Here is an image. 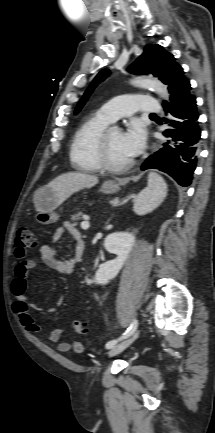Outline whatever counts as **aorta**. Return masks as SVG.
Listing matches in <instances>:
<instances>
[{
	"label": "aorta",
	"instance_id": "aorta-1",
	"mask_svg": "<svg viewBox=\"0 0 215 433\" xmlns=\"http://www.w3.org/2000/svg\"><path fill=\"white\" fill-rule=\"evenodd\" d=\"M132 84L138 87L154 90L164 99L169 98L167 87L158 79L140 76L133 80Z\"/></svg>",
	"mask_w": 215,
	"mask_h": 433
}]
</instances>
